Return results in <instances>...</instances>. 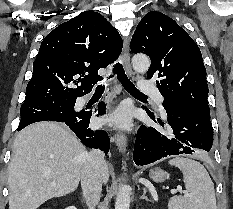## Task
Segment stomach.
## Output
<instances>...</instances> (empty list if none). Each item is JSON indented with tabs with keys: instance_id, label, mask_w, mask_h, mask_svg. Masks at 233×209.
Returning a JSON list of instances; mask_svg holds the SVG:
<instances>
[{
	"instance_id": "obj_1",
	"label": "stomach",
	"mask_w": 233,
	"mask_h": 209,
	"mask_svg": "<svg viewBox=\"0 0 233 209\" xmlns=\"http://www.w3.org/2000/svg\"><path fill=\"white\" fill-rule=\"evenodd\" d=\"M149 176L154 182L157 183L163 182L166 179V173L159 168L150 170Z\"/></svg>"
}]
</instances>
